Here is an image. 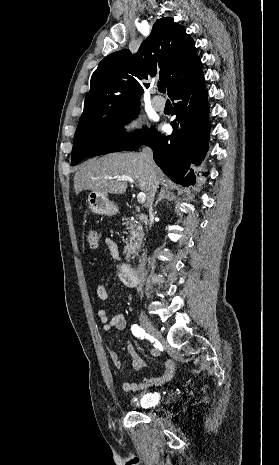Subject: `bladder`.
<instances>
[{"label":"bladder","mask_w":279,"mask_h":465,"mask_svg":"<svg viewBox=\"0 0 279 465\" xmlns=\"http://www.w3.org/2000/svg\"><path fill=\"white\" fill-rule=\"evenodd\" d=\"M160 399L157 392H146L134 398V405L139 408H150L155 406Z\"/></svg>","instance_id":"31cf9c89"}]
</instances>
